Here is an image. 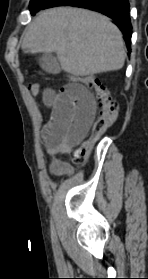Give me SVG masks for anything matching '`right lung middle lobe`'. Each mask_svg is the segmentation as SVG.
<instances>
[{
	"label": "right lung middle lobe",
	"instance_id": "dd1d6c3e",
	"mask_svg": "<svg viewBox=\"0 0 148 279\" xmlns=\"http://www.w3.org/2000/svg\"><path fill=\"white\" fill-rule=\"evenodd\" d=\"M48 0H31L30 1V12L34 15L39 10L43 9V6Z\"/></svg>",
	"mask_w": 148,
	"mask_h": 279
}]
</instances>
